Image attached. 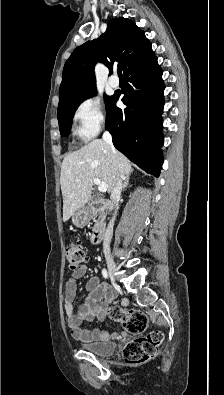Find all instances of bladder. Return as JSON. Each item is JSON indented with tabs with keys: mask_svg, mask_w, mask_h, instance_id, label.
Segmentation results:
<instances>
[{
	"mask_svg": "<svg viewBox=\"0 0 224 395\" xmlns=\"http://www.w3.org/2000/svg\"><path fill=\"white\" fill-rule=\"evenodd\" d=\"M80 347L83 351L97 356H108L115 352L116 344L114 342L93 341L81 343Z\"/></svg>",
	"mask_w": 224,
	"mask_h": 395,
	"instance_id": "1",
	"label": "bladder"
}]
</instances>
